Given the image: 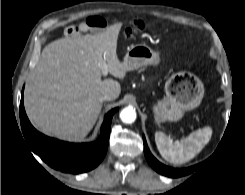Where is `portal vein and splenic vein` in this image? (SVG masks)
<instances>
[{
    "instance_id": "portal-vein-and-splenic-vein-1",
    "label": "portal vein and splenic vein",
    "mask_w": 245,
    "mask_h": 195,
    "mask_svg": "<svg viewBox=\"0 0 245 195\" xmlns=\"http://www.w3.org/2000/svg\"><path fill=\"white\" fill-rule=\"evenodd\" d=\"M107 74H108L107 66H106V65H103V66H102V75H103V76H106Z\"/></svg>"
}]
</instances>
